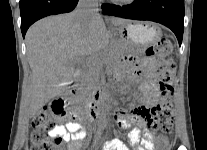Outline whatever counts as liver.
I'll use <instances>...</instances> for the list:
<instances>
[{
    "mask_svg": "<svg viewBox=\"0 0 207 150\" xmlns=\"http://www.w3.org/2000/svg\"><path fill=\"white\" fill-rule=\"evenodd\" d=\"M120 26L128 20L111 18ZM112 31L98 14L87 23L80 22L75 11L44 18L27 31L25 41L32 71L23 90L22 109L27 119L45 104L60 96L75 79V65L90 64L96 54L106 50Z\"/></svg>",
    "mask_w": 207,
    "mask_h": 150,
    "instance_id": "obj_1",
    "label": "liver"
}]
</instances>
